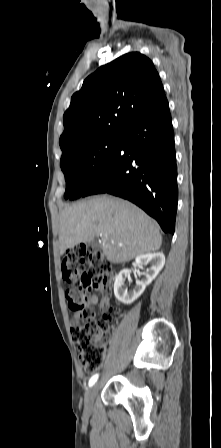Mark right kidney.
Returning a JSON list of instances; mask_svg holds the SVG:
<instances>
[{
	"label": "right kidney",
	"instance_id": "right-kidney-1",
	"mask_svg": "<svg viewBox=\"0 0 221 448\" xmlns=\"http://www.w3.org/2000/svg\"><path fill=\"white\" fill-rule=\"evenodd\" d=\"M150 264V268L144 274L145 278L136 281V286L133 290L129 291L124 288V283L127 277H129L131 270L123 269L119 272L114 283V294L118 301L129 305L133 303L145 290L153 279L158 275L165 264V256L161 252L148 253L139 255L135 259V265L137 267H143Z\"/></svg>",
	"mask_w": 221,
	"mask_h": 448
}]
</instances>
